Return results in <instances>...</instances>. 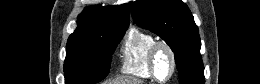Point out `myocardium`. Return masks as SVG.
Returning a JSON list of instances; mask_svg holds the SVG:
<instances>
[{
  "mask_svg": "<svg viewBox=\"0 0 260 84\" xmlns=\"http://www.w3.org/2000/svg\"><path fill=\"white\" fill-rule=\"evenodd\" d=\"M162 50H164L168 53V55L170 57V61H171L170 72L164 79H160L157 76V72H156V58H157V55L159 54V52H161ZM176 68H177V59H176V55H175L173 48L165 41H162V40L156 41L153 44V46L151 47L150 53H149V71H150L152 78L157 82L165 83L174 76V74L176 72Z\"/></svg>",
  "mask_w": 260,
  "mask_h": 84,
  "instance_id": "myocardium-1",
  "label": "myocardium"
}]
</instances>
